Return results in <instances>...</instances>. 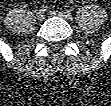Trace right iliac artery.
Masks as SVG:
<instances>
[{"label": "right iliac artery", "mask_w": 111, "mask_h": 106, "mask_svg": "<svg viewBox=\"0 0 111 106\" xmlns=\"http://www.w3.org/2000/svg\"><path fill=\"white\" fill-rule=\"evenodd\" d=\"M41 11H43V12H45V11H47L48 10V7L47 6H45V5H43L42 7H41V9H40Z\"/></svg>", "instance_id": "right-iliac-artery-1"}]
</instances>
